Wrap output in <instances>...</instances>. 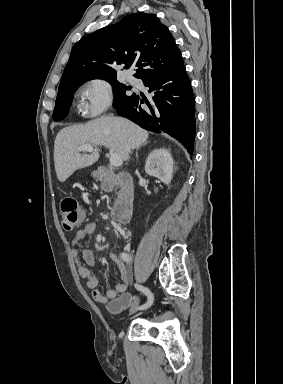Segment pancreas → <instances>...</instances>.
Returning a JSON list of instances; mask_svg holds the SVG:
<instances>
[{"mask_svg": "<svg viewBox=\"0 0 283 384\" xmlns=\"http://www.w3.org/2000/svg\"><path fill=\"white\" fill-rule=\"evenodd\" d=\"M107 174H106V178L107 180H111V178H114L115 174L113 172V170H106Z\"/></svg>", "mask_w": 283, "mask_h": 384, "instance_id": "1", "label": "pancreas"}]
</instances>
